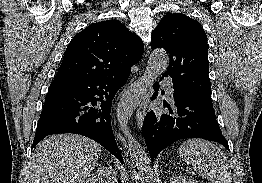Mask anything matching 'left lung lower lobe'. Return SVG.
Listing matches in <instances>:
<instances>
[{
	"label": "left lung lower lobe",
	"mask_w": 262,
	"mask_h": 183,
	"mask_svg": "<svg viewBox=\"0 0 262 183\" xmlns=\"http://www.w3.org/2000/svg\"><path fill=\"white\" fill-rule=\"evenodd\" d=\"M153 88L151 100L158 95L159 83L156 82ZM173 98V108L164 104L170 114L156 116L151 111L144 118L142 134L152 161L161 150L184 138L215 141L229 150L228 142L216 121L210 97L189 94L174 85Z\"/></svg>",
	"instance_id": "0a47b994"
}]
</instances>
